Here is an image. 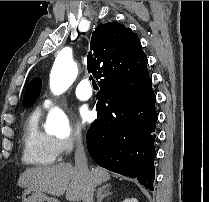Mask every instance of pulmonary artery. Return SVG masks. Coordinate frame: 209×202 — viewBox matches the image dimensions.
<instances>
[{
  "mask_svg": "<svg viewBox=\"0 0 209 202\" xmlns=\"http://www.w3.org/2000/svg\"><path fill=\"white\" fill-rule=\"evenodd\" d=\"M92 94H93V89L89 84V82L86 79L82 80L76 88V97L81 101H86L90 99ZM53 104H54V99L47 98L43 102V107L48 109L52 107Z\"/></svg>",
  "mask_w": 209,
  "mask_h": 202,
  "instance_id": "e3ab8cb5",
  "label": "pulmonary artery"
}]
</instances>
